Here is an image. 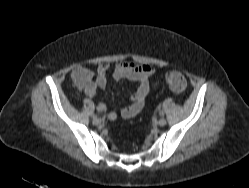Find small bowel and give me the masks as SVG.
Returning <instances> with one entry per match:
<instances>
[{
	"label": "small bowel",
	"mask_w": 249,
	"mask_h": 188,
	"mask_svg": "<svg viewBox=\"0 0 249 188\" xmlns=\"http://www.w3.org/2000/svg\"><path fill=\"white\" fill-rule=\"evenodd\" d=\"M110 65L103 63L97 67L95 77L85 68L78 67L72 71V79L76 87L84 90L87 97L94 99L98 89H104L107 85V73ZM156 73V68L150 64H138L134 62H121L114 66L112 76L115 80L128 79L135 84V92L131 97V103L121 111V116L129 119L137 115L143 108L145 99L153 86L150 79ZM81 75V79H77V75ZM96 108L99 112H106L107 107L103 102H97ZM108 118L114 120L115 112H109Z\"/></svg>",
	"instance_id": "obj_1"
}]
</instances>
